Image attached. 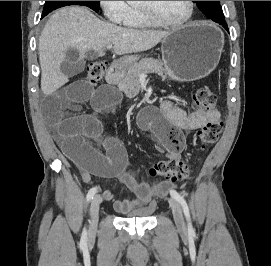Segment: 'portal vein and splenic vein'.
Instances as JSON below:
<instances>
[{"instance_id": "18ae733b", "label": "portal vein and splenic vein", "mask_w": 271, "mask_h": 266, "mask_svg": "<svg viewBox=\"0 0 271 266\" xmlns=\"http://www.w3.org/2000/svg\"><path fill=\"white\" fill-rule=\"evenodd\" d=\"M106 47H107V49H111L113 46L111 44H109Z\"/></svg>"}]
</instances>
